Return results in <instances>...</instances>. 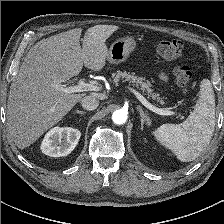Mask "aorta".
<instances>
[{"instance_id": "1", "label": "aorta", "mask_w": 224, "mask_h": 224, "mask_svg": "<svg viewBox=\"0 0 224 224\" xmlns=\"http://www.w3.org/2000/svg\"><path fill=\"white\" fill-rule=\"evenodd\" d=\"M127 120V112L123 109H119L113 112L112 121L117 125H122Z\"/></svg>"}]
</instances>
